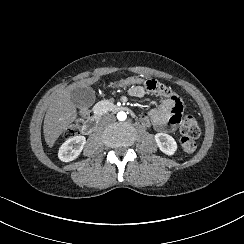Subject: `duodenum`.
Instances as JSON below:
<instances>
[{
    "instance_id": "obj_1",
    "label": "duodenum",
    "mask_w": 244,
    "mask_h": 244,
    "mask_svg": "<svg viewBox=\"0 0 244 244\" xmlns=\"http://www.w3.org/2000/svg\"><path fill=\"white\" fill-rule=\"evenodd\" d=\"M116 110H128V108L123 105V104H117L116 105ZM100 115V111L93 114L85 123L84 125L82 126V132L84 134H90L93 130H94V127H95V121L97 120V118L99 117Z\"/></svg>"
}]
</instances>
